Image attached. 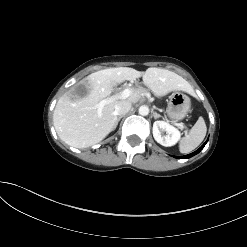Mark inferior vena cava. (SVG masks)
Instances as JSON below:
<instances>
[{"label": "inferior vena cava", "instance_id": "inferior-vena-cava-1", "mask_svg": "<svg viewBox=\"0 0 247 247\" xmlns=\"http://www.w3.org/2000/svg\"><path fill=\"white\" fill-rule=\"evenodd\" d=\"M131 109V103L126 100L119 101L115 107V114L122 116L128 113Z\"/></svg>", "mask_w": 247, "mask_h": 247}]
</instances>
